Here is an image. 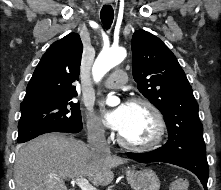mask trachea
<instances>
[{
  "mask_svg": "<svg viewBox=\"0 0 221 190\" xmlns=\"http://www.w3.org/2000/svg\"><path fill=\"white\" fill-rule=\"evenodd\" d=\"M100 16L103 27L108 30L111 27L114 18L113 8L110 5H104L101 9Z\"/></svg>",
  "mask_w": 221,
  "mask_h": 190,
  "instance_id": "3493384b",
  "label": "trachea"
}]
</instances>
